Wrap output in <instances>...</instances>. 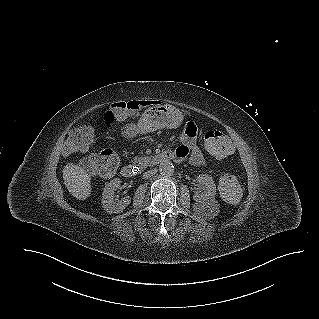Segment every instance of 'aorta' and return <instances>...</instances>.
Returning a JSON list of instances; mask_svg holds the SVG:
<instances>
[{"label":"aorta","instance_id":"aorta-1","mask_svg":"<svg viewBox=\"0 0 319 319\" xmlns=\"http://www.w3.org/2000/svg\"><path fill=\"white\" fill-rule=\"evenodd\" d=\"M159 172L164 176H171L174 173V166L169 161L161 162L159 165Z\"/></svg>","mask_w":319,"mask_h":319}]
</instances>
